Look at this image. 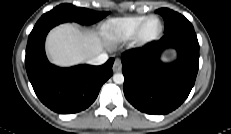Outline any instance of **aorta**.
I'll use <instances>...</instances> for the list:
<instances>
[{
  "label": "aorta",
  "mask_w": 231,
  "mask_h": 134,
  "mask_svg": "<svg viewBox=\"0 0 231 134\" xmlns=\"http://www.w3.org/2000/svg\"><path fill=\"white\" fill-rule=\"evenodd\" d=\"M113 81L116 84H122L124 82V76L121 73H117L113 76Z\"/></svg>",
  "instance_id": "762f6f07"
}]
</instances>
